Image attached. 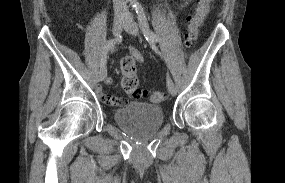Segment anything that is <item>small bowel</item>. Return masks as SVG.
<instances>
[{
  "label": "small bowel",
  "mask_w": 285,
  "mask_h": 183,
  "mask_svg": "<svg viewBox=\"0 0 285 183\" xmlns=\"http://www.w3.org/2000/svg\"><path fill=\"white\" fill-rule=\"evenodd\" d=\"M129 50H130L131 56H132L138 63H143V62H144V58H143V56L141 55V53H140L138 50H136V49H135L134 47H132V46H130ZM112 82H113V80H112V78H110V77L106 78V80H105V83H106V84H111ZM97 92H98V94L100 95V97L103 98V100H104L105 102H107V103H109V104H111V105H115V104H113L112 101H111L112 98L115 97V96H110V95L105 94L101 88H97ZM116 98H118V97H116ZM119 99L122 100V104H121V105H123V104L126 103V100H125V99H123V98H119Z\"/></svg>",
  "instance_id": "1"
}]
</instances>
